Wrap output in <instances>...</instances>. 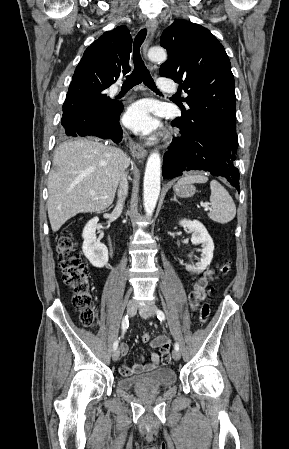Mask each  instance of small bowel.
Returning <instances> with one entry per match:
<instances>
[{
	"label": "small bowel",
	"instance_id": "obj_1",
	"mask_svg": "<svg viewBox=\"0 0 289 449\" xmlns=\"http://www.w3.org/2000/svg\"><path fill=\"white\" fill-rule=\"evenodd\" d=\"M214 279H215L214 270L208 269L203 273L202 276H200L198 279L194 281L189 292V304L193 310L197 309L200 302L206 298L207 295L206 288L209 285V283L212 282ZM145 343H149V353L151 362L147 364L137 362L131 366L123 364L119 368V373L122 376H131L142 372H150L157 369L161 365L165 367L170 363L171 358L170 345L172 343L171 338L165 335H160L155 339H153L152 341H150L149 339ZM157 348L159 353H161L162 357L156 352H154V350ZM121 352L123 354L128 353V346L126 344L121 345Z\"/></svg>",
	"mask_w": 289,
	"mask_h": 449
}]
</instances>
